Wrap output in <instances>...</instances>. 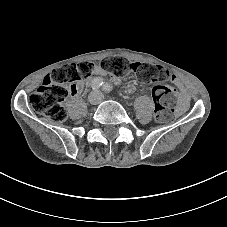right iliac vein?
Returning <instances> with one entry per match:
<instances>
[{"label":"right iliac vein","mask_w":227,"mask_h":227,"mask_svg":"<svg viewBox=\"0 0 227 227\" xmlns=\"http://www.w3.org/2000/svg\"><path fill=\"white\" fill-rule=\"evenodd\" d=\"M88 102L91 104V105H96L99 103V98L97 96V94L95 92H93L89 98H88Z\"/></svg>","instance_id":"63e3f726"}]
</instances>
